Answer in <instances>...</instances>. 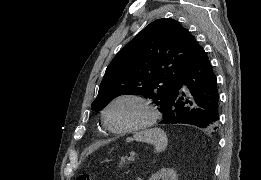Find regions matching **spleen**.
Returning <instances> with one entry per match:
<instances>
[{"label":"spleen","mask_w":261,"mask_h":180,"mask_svg":"<svg viewBox=\"0 0 261 180\" xmlns=\"http://www.w3.org/2000/svg\"><path fill=\"white\" fill-rule=\"evenodd\" d=\"M147 142V144H153L156 154L158 152H164L167 148L168 138L164 130L160 128H151V130H143V132H136L133 138H127V142Z\"/></svg>","instance_id":"spleen-1"}]
</instances>
